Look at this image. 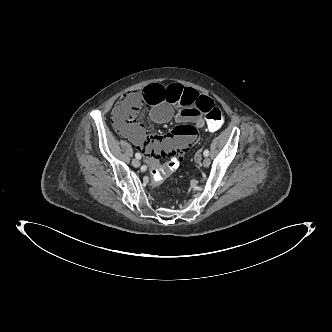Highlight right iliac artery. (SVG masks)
<instances>
[{"label": "right iliac artery", "instance_id": "82829eb1", "mask_svg": "<svg viewBox=\"0 0 332 332\" xmlns=\"http://www.w3.org/2000/svg\"><path fill=\"white\" fill-rule=\"evenodd\" d=\"M135 157H136V159H141V154L140 153H136Z\"/></svg>", "mask_w": 332, "mask_h": 332}]
</instances>
